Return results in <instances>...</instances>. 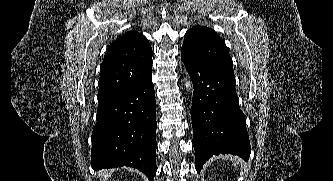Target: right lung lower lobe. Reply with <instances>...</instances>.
Here are the masks:
<instances>
[{"mask_svg": "<svg viewBox=\"0 0 333 181\" xmlns=\"http://www.w3.org/2000/svg\"><path fill=\"white\" fill-rule=\"evenodd\" d=\"M91 136V166L133 167L156 175V106L152 76L100 101Z\"/></svg>", "mask_w": 333, "mask_h": 181, "instance_id": "1", "label": "right lung lower lobe"}]
</instances>
